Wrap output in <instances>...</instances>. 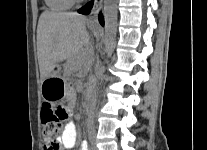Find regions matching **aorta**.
I'll list each match as a JSON object with an SVG mask.
<instances>
[{"instance_id": "aorta-1", "label": "aorta", "mask_w": 207, "mask_h": 150, "mask_svg": "<svg viewBox=\"0 0 207 150\" xmlns=\"http://www.w3.org/2000/svg\"><path fill=\"white\" fill-rule=\"evenodd\" d=\"M104 21H105V35H104V53L109 56L112 53L116 32H117V0H104ZM102 67L97 71V76L101 75ZM98 87L93 91L91 99V107L94 108L96 104Z\"/></svg>"}]
</instances>
